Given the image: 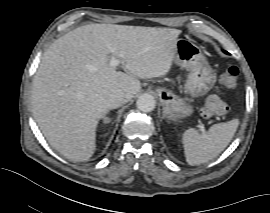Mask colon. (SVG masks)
<instances>
[{
	"label": "colon",
	"mask_w": 270,
	"mask_h": 213,
	"mask_svg": "<svg viewBox=\"0 0 270 213\" xmlns=\"http://www.w3.org/2000/svg\"><path fill=\"white\" fill-rule=\"evenodd\" d=\"M237 67L228 68L221 76L220 83L226 90L234 89L238 84ZM229 107L225 100L218 96H211L204 99L201 107V114L208 119H217L225 115Z\"/></svg>",
	"instance_id": "obj_1"
}]
</instances>
